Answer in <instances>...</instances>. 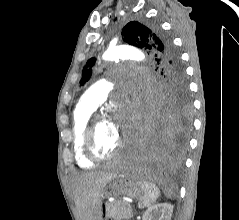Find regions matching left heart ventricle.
Returning a JSON list of instances; mask_svg holds the SVG:
<instances>
[{
    "mask_svg": "<svg viewBox=\"0 0 239 220\" xmlns=\"http://www.w3.org/2000/svg\"><path fill=\"white\" fill-rule=\"evenodd\" d=\"M94 138L95 148L102 155L112 152L120 140L118 130L110 121H102L97 124Z\"/></svg>",
    "mask_w": 239,
    "mask_h": 220,
    "instance_id": "1",
    "label": "left heart ventricle"
}]
</instances>
